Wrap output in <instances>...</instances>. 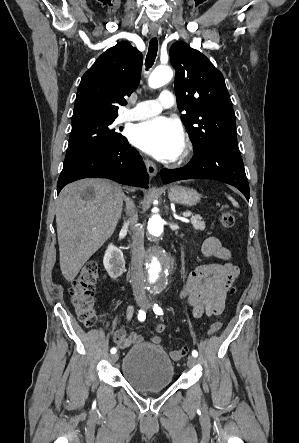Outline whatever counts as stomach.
<instances>
[{"label":"stomach","mask_w":299,"mask_h":443,"mask_svg":"<svg viewBox=\"0 0 299 443\" xmlns=\"http://www.w3.org/2000/svg\"><path fill=\"white\" fill-rule=\"evenodd\" d=\"M168 197L171 201L186 206H194L200 199L196 190L177 185L168 187Z\"/></svg>","instance_id":"1"}]
</instances>
